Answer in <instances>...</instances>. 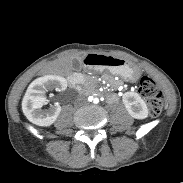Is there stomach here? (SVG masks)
<instances>
[{"mask_svg": "<svg viewBox=\"0 0 183 183\" xmlns=\"http://www.w3.org/2000/svg\"><path fill=\"white\" fill-rule=\"evenodd\" d=\"M99 69H107L112 74L120 75L127 79H136L140 75L138 67L132 66L128 61L112 55L101 54Z\"/></svg>", "mask_w": 183, "mask_h": 183, "instance_id": "stomach-1", "label": "stomach"}]
</instances>
